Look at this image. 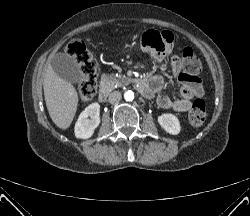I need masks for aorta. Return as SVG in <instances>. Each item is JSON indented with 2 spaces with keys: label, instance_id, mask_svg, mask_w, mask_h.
I'll use <instances>...</instances> for the list:
<instances>
[{
  "label": "aorta",
  "instance_id": "1",
  "mask_svg": "<svg viewBox=\"0 0 250 216\" xmlns=\"http://www.w3.org/2000/svg\"><path fill=\"white\" fill-rule=\"evenodd\" d=\"M124 98L126 101H132L134 99V93L133 91H127L124 94Z\"/></svg>",
  "mask_w": 250,
  "mask_h": 216
}]
</instances>
